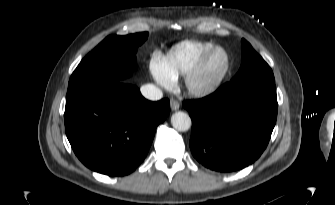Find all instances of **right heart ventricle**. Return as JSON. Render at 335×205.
<instances>
[{
  "label": "right heart ventricle",
  "instance_id": "right-heart-ventricle-1",
  "mask_svg": "<svg viewBox=\"0 0 335 205\" xmlns=\"http://www.w3.org/2000/svg\"><path fill=\"white\" fill-rule=\"evenodd\" d=\"M214 46L208 41H182L168 51L164 58L165 69L174 79L186 75L201 55Z\"/></svg>",
  "mask_w": 335,
  "mask_h": 205
}]
</instances>
